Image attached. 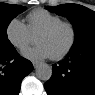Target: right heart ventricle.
<instances>
[{
	"mask_svg": "<svg viewBox=\"0 0 95 95\" xmlns=\"http://www.w3.org/2000/svg\"><path fill=\"white\" fill-rule=\"evenodd\" d=\"M27 27L32 35L38 34L41 30L61 22L62 19L45 9H36L30 12L27 17Z\"/></svg>",
	"mask_w": 95,
	"mask_h": 95,
	"instance_id": "e07e8e85",
	"label": "right heart ventricle"
}]
</instances>
